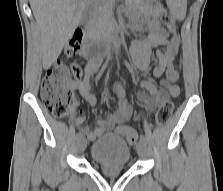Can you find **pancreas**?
Instances as JSON below:
<instances>
[{"label": "pancreas", "instance_id": "pancreas-1", "mask_svg": "<svg viewBox=\"0 0 223 191\" xmlns=\"http://www.w3.org/2000/svg\"><path fill=\"white\" fill-rule=\"evenodd\" d=\"M115 0H97L89 10L90 24L96 32L106 30L112 23Z\"/></svg>", "mask_w": 223, "mask_h": 191}]
</instances>
